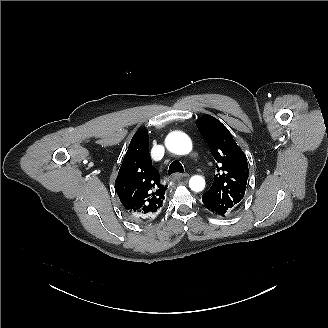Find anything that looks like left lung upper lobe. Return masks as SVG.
<instances>
[{"label": "left lung upper lobe", "mask_w": 328, "mask_h": 328, "mask_svg": "<svg viewBox=\"0 0 328 328\" xmlns=\"http://www.w3.org/2000/svg\"><path fill=\"white\" fill-rule=\"evenodd\" d=\"M196 123L218 162L213 184L202 196L203 206L224 216L244 197L248 179L247 158L219 120L204 115Z\"/></svg>", "instance_id": "1"}]
</instances>
